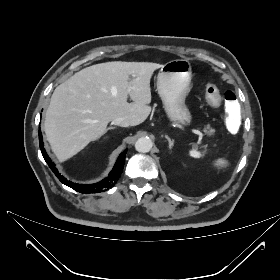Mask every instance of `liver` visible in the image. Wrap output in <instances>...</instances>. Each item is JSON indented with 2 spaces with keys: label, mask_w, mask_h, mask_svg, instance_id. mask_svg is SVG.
Listing matches in <instances>:
<instances>
[{
  "label": "liver",
  "mask_w": 280,
  "mask_h": 280,
  "mask_svg": "<svg viewBox=\"0 0 280 280\" xmlns=\"http://www.w3.org/2000/svg\"><path fill=\"white\" fill-rule=\"evenodd\" d=\"M161 67L151 62L100 63L60 84L52 94L44 123L55 155L61 161L71 158L100 138L115 118L124 117L131 126L144 122L151 112L150 80ZM128 96L133 102L128 103Z\"/></svg>",
  "instance_id": "obj_1"
}]
</instances>
